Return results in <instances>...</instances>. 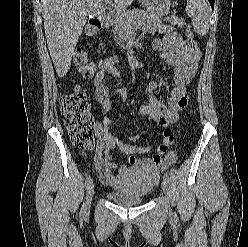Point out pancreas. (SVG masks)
<instances>
[{
	"label": "pancreas",
	"instance_id": "cf45deb5",
	"mask_svg": "<svg viewBox=\"0 0 248 247\" xmlns=\"http://www.w3.org/2000/svg\"><path fill=\"white\" fill-rule=\"evenodd\" d=\"M172 25L182 27L185 25L183 20L177 18H168ZM115 37L119 41H124L130 31L134 29H156L161 26L160 17L146 10H129L119 16H116L111 22Z\"/></svg>",
	"mask_w": 248,
	"mask_h": 247
}]
</instances>
